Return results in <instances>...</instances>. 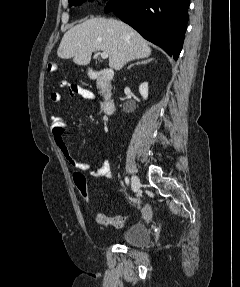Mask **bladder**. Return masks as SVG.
<instances>
[{
    "instance_id": "1",
    "label": "bladder",
    "mask_w": 240,
    "mask_h": 287,
    "mask_svg": "<svg viewBox=\"0 0 240 287\" xmlns=\"http://www.w3.org/2000/svg\"><path fill=\"white\" fill-rule=\"evenodd\" d=\"M119 239L125 244L139 247L150 242V233L145 225L133 224L120 235Z\"/></svg>"
}]
</instances>
